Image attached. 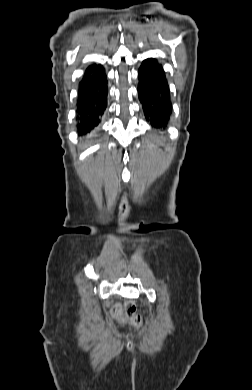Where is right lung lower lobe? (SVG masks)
Returning <instances> with one entry per match:
<instances>
[{"label":"right lung lower lobe","mask_w":252,"mask_h":390,"mask_svg":"<svg viewBox=\"0 0 252 390\" xmlns=\"http://www.w3.org/2000/svg\"><path fill=\"white\" fill-rule=\"evenodd\" d=\"M107 76L99 70L85 73L79 83L77 99V128L84 135L98 126L107 108Z\"/></svg>","instance_id":"98d812e1"}]
</instances>
